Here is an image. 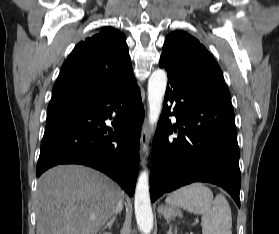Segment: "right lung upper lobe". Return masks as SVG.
<instances>
[{"instance_id":"1","label":"right lung upper lobe","mask_w":279,"mask_h":234,"mask_svg":"<svg viewBox=\"0 0 279 234\" xmlns=\"http://www.w3.org/2000/svg\"><path fill=\"white\" fill-rule=\"evenodd\" d=\"M131 77L134 75L125 35L104 27L78 43L63 63L48 108L88 101Z\"/></svg>"}]
</instances>
